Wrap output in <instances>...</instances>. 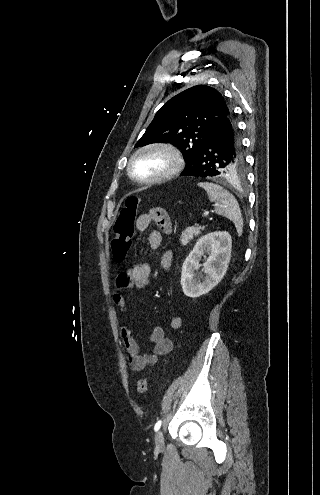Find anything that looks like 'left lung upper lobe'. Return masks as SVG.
<instances>
[{
    "label": "left lung upper lobe",
    "instance_id": "5c2ea615",
    "mask_svg": "<svg viewBox=\"0 0 320 495\" xmlns=\"http://www.w3.org/2000/svg\"><path fill=\"white\" fill-rule=\"evenodd\" d=\"M231 115L223 96L207 85L191 87L171 98L159 109L135 147L170 143L181 149L187 166L215 129ZM186 166V167H187ZM244 167L242 153L219 171L229 177Z\"/></svg>",
    "mask_w": 320,
    "mask_h": 495
}]
</instances>
